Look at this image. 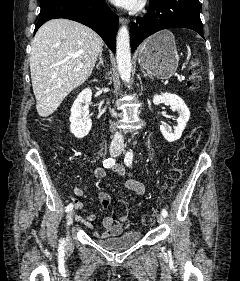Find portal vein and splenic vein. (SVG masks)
<instances>
[{
	"label": "portal vein and splenic vein",
	"mask_w": 240,
	"mask_h": 281,
	"mask_svg": "<svg viewBox=\"0 0 240 281\" xmlns=\"http://www.w3.org/2000/svg\"><path fill=\"white\" fill-rule=\"evenodd\" d=\"M80 68H81V67H78L77 70H80ZM179 79H180V80H184L185 78H184V76H180Z\"/></svg>",
	"instance_id": "1"
}]
</instances>
